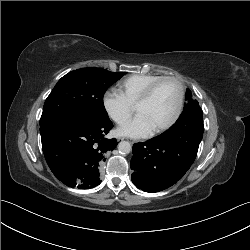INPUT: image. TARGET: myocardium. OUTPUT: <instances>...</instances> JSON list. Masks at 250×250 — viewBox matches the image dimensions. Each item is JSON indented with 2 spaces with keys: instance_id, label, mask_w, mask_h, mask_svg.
Wrapping results in <instances>:
<instances>
[{
  "instance_id": "myocardium-1",
  "label": "myocardium",
  "mask_w": 250,
  "mask_h": 250,
  "mask_svg": "<svg viewBox=\"0 0 250 250\" xmlns=\"http://www.w3.org/2000/svg\"><path fill=\"white\" fill-rule=\"evenodd\" d=\"M166 81H172L175 82L178 86L179 89V94H178V101H177V106L175 109V112L173 114V116L171 117V119L164 124L163 126L155 129L152 131V135H159L162 134L164 132H166L167 130H169L179 119L180 114L182 112V108H183V102H184V95H185V90H184V86L183 83L181 82L180 79L173 77V76H165L160 78L159 80L155 81L154 83H152L145 91L144 93L139 97V99L136 101L135 103V109L146 103L147 101H149L151 99V97L153 96L154 92L156 91V89L164 82Z\"/></svg>"
}]
</instances>
